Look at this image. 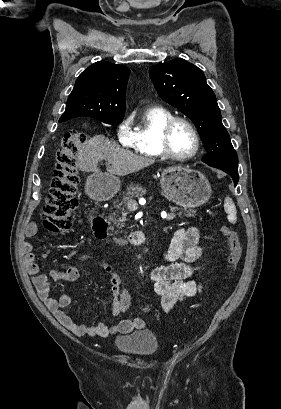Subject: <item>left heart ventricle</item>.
<instances>
[{"mask_svg":"<svg viewBox=\"0 0 281 409\" xmlns=\"http://www.w3.org/2000/svg\"><path fill=\"white\" fill-rule=\"evenodd\" d=\"M170 146L172 151L178 155H186L194 150V137L185 125L178 124L174 127L170 137Z\"/></svg>","mask_w":281,"mask_h":409,"instance_id":"left-heart-ventricle-1","label":"left heart ventricle"}]
</instances>
